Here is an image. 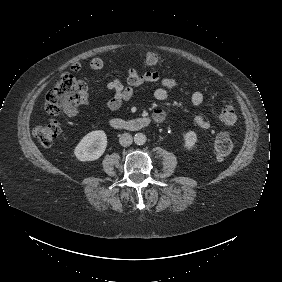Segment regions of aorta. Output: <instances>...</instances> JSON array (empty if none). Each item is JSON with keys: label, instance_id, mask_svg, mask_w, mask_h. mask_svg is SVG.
Instances as JSON below:
<instances>
[{"label": "aorta", "instance_id": "1", "mask_svg": "<svg viewBox=\"0 0 282 282\" xmlns=\"http://www.w3.org/2000/svg\"><path fill=\"white\" fill-rule=\"evenodd\" d=\"M147 141V137L143 133H136L134 136V142L136 145H144Z\"/></svg>", "mask_w": 282, "mask_h": 282}]
</instances>
